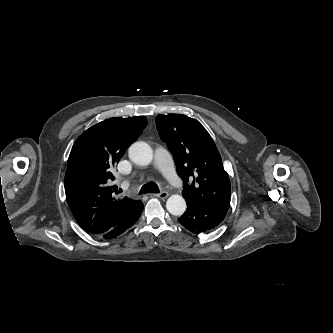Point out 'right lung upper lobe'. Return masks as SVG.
<instances>
[{
    "label": "right lung upper lobe",
    "instance_id": "obj_1",
    "mask_svg": "<svg viewBox=\"0 0 333 333\" xmlns=\"http://www.w3.org/2000/svg\"><path fill=\"white\" fill-rule=\"evenodd\" d=\"M147 125L145 116L113 117L84 131L75 141L65 174L66 200L77 223L100 237L142 205L127 197L116 200L113 167Z\"/></svg>",
    "mask_w": 333,
    "mask_h": 333
}]
</instances>
